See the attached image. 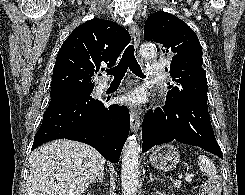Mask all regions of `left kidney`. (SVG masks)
<instances>
[{
    "label": "left kidney",
    "mask_w": 245,
    "mask_h": 195,
    "mask_svg": "<svg viewBox=\"0 0 245 195\" xmlns=\"http://www.w3.org/2000/svg\"><path fill=\"white\" fill-rule=\"evenodd\" d=\"M158 195H164V194H163V193H159V192H158Z\"/></svg>",
    "instance_id": "5707ae66"
}]
</instances>
